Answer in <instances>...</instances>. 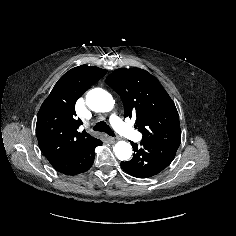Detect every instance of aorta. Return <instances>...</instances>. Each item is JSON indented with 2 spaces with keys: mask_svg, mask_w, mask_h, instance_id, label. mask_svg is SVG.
<instances>
[{
  "mask_svg": "<svg viewBox=\"0 0 236 236\" xmlns=\"http://www.w3.org/2000/svg\"><path fill=\"white\" fill-rule=\"evenodd\" d=\"M114 103L112 95L101 88L92 89L86 95L87 106L95 112H109ZM113 151L115 156L122 161L128 160L132 155L131 145L125 141H118L113 147Z\"/></svg>",
  "mask_w": 236,
  "mask_h": 236,
  "instance_id": "1",
  "label": "aorta"
}]
</instances>
